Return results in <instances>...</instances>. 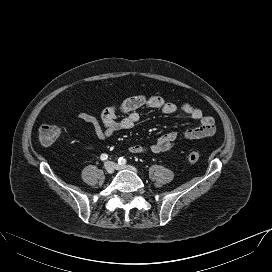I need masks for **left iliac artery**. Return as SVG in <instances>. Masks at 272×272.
Wrapping results in <instances>:
<instances>
[{"label":"left iliac artery","mask_w":272,"mask_h":272,"mask_svg":"<svg viewBox=\"0 0 272 272\" xmlns=\"http://www.w3.org/2000/svg\"><path fill=\"white\" fill-rule=\"evenodd\" d=\"M118 163H119L120 165H125V164L127 163V160H126L125 158H123V157H120V158L118 159Z\"/></svg>","instance_id":"1"}]
</instances>
